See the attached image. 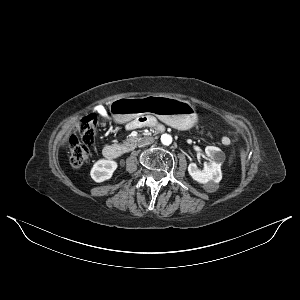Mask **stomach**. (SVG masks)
Wrapping results in <instances>:
<instances>
[{
  "label": "stomach",
  "mask_w": 300,
  "mask_h": 300,
  "mask_svg": "<svg viewBox=\"0 0 300 300\" xmlns=\"http://www.w3.org/2000/svg\"><path fill=\"white\" fill-rule=\"evenodd\" d=\"M109 110L118 123L153 114L168 125L186 130L192 128L198 120L195 107L189 102L163 95L120 98L110 104Z\"/></svg>",
  "instance_id": "0dacf381"
}]
</instances>
